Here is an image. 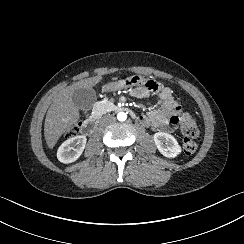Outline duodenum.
I'll use <instances>...</instances> for the list:
<instances>
[{"label":"duodenum","instance_id":"obj_1","mask_svg":"<svg viewBox=\"0 0 244 244\" xmlns=\"http://www.w3.org/2000/svg\"><path fill=\"white\" fill-rule=\"evenodd\" d=\"M116 109L127 111L129 114L136 117V115L131 110L125 108L123 105H117ZM99 116V113H94L89 118H87L85 122L82 123L80 130L83 135H90L93 133Z\"/></svg>","mask_w":244,"mask_h":244}]
</instances>
